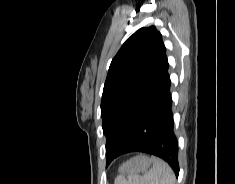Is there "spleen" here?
Wrapping results in <instances>:
<instances>
[{"label": "spleen", "mask_w": 235, "mask_h": 184, "mask_svg": "<svg viewBox=\"0 0 235 184\" xmlns=\"http://www.w3.org/2000/svg\"><path fill=\"white\" fill-rule=\"evenodd\" d=\"M152 168L144 176L130 174L125 178H116L115 184H175V174L170 166L160 160V158H151Z\"/></svg>", "instance_id": "obj_1"}]
</instances>
